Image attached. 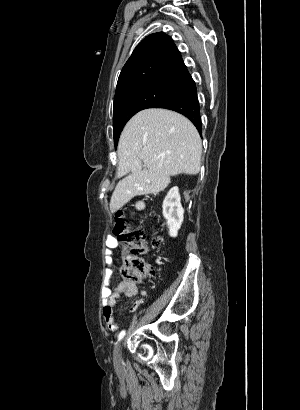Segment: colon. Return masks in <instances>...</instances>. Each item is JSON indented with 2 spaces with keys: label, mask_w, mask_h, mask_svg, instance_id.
<instances>
[{
  "label": "colon",
  "mask_w": 300,
  "mask_h": 410,
  "mask_svg": "<svg viewBox=\"0 0 300 410\" xmlns=\"http://www.w3.org/2000/svg\"><path fill=\"white\" fill-rule=\"evenodd\" d=\"M115 234L118 240L130 248V254L124 259L120 268L121 277L127 282H138L144 277L153 275V269L144 262L141 255L147 252V234L140 229L128 227L122 214L117 215ZM153 247L159 246V240L152 238Z\"/></svg>",
  "instance_id": "5ec220e1"
}]
</instances>
